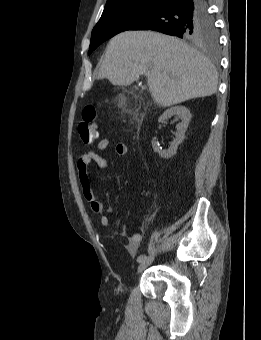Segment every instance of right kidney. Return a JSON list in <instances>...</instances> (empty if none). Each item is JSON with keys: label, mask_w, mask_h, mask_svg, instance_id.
Segmentation results:
<instances>
[{"label": "right kidney", "mask_w": 261, "mask_h": 340, "mask_svg": "<svg viewBox=\"0 0 261 340\" xmlns=\"http://www.w3.org/2000/svg\"><path fill=\"white\" fill-rule=\"evenodd\" d=\"M172 116H176L177 119H180L181 122L177 125V132H176V138L171 143L168 150H159L154 142H152V147L155 152L159 153L160 157L162 158H170L173 155L176 154L177 148L179 144L183 141L185 132L187 130V127L189 125V121L191 119V113L189 109H187L184 106H175L167 109L160 117L159 122H163L167 119H169Z\"/></svg>", "instance_id": "obj_1"}]
</instances>
